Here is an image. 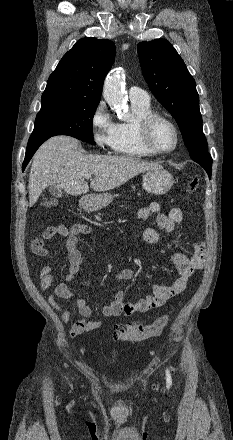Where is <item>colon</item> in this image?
Masks as SVG:
<instances>
[{
	"label": "colon",
	"mask_w": 233,
	"mask_h": 440,
	"mask_svg": "<svg viewBox=\"0 0 233 440\" xmlns=\"http://www.w3.org/2000/svg\"><path fill=\"white\" fill-rule=\"evenodd\" d=\"M199 186V178H192L187 185V192L194 193ZM44 206L49 209L57 208V202L54 200H46ZM169 318L162 316L157 318L150 324H142L140 322H129L119 324L114 329V337L117 340L125 342H144L146 340L158 337L168 325Z\"/></svg>",
	"instance_id": "5ec220e1"
}]
</instances>
